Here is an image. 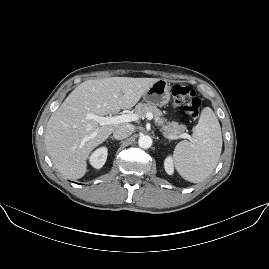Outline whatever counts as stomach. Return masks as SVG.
<instances>
[{"instance_id": "stomach-1", "label": "stomach", "mask_w": 269, "mask_h": 269, "mask_svg": "<svg viewBox=\"0 0 269 269\" xmlns=\"http://www.w3.org/2000/svg\"><path fill=\"white\" fill-rule=\"evenodd\" d=\"M170 86L164 79H159L145 91L143 99L149 105L163 106L167 104L171 97Z\"/></svg>"}]
</instances>
